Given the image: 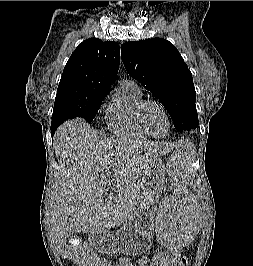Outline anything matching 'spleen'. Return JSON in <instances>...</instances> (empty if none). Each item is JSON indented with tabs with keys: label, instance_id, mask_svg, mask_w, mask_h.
Masks as SVG:
<instances>
[{
	"label": "spleen",
	"instance_id": "spleen-1",
	"mask_svg": "<svg viewBox=\"0 0 253 266\" xmlns=\"http://www.w3.org/2000/svg\"><path fill=\"white\" fill-rule=\"evenodd\" d=\"M192 150L184 148L183 153H174L173 160L169 161V168L174 169L175 174H188L191 168ZM179 190H169V199H178L174 207H158L154 217L156 246L163 248H190V242H197V233L193 229H199L201 218L200 207H189L187 199H200V190H182L185 187V179L178 176L175 179Z\"/></svg>",
	"mask_w": 253,
	"mask_h": 266
}]
</instances>
